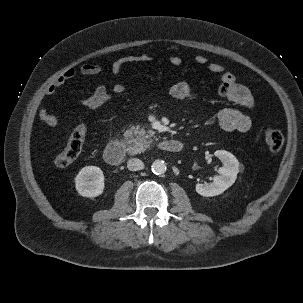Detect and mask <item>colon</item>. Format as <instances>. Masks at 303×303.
<instances>
[{"instance_id":"colon-1","label":"colon","mask_w":303,"mask_h":303,"mask_svg":"<svg viewBox=\"0 0 303 303\" xmlns=\"http://www.w3.org/2000/svg\"><path fill=\"white\" fill-rule=\"evenodd\" d=\"M110 97L111 94H104L91 100L86 107L89 109L101 108L107 103ZM87 132L88 127L85 123H80L75 127L66 147L59 152L55 158V164L58 167H66L78 158L82 151ZM263 137L268 149L272 153H277L281 150L284 144V137L281 131L274 128H266L264 130Z\"/></svg>"}]
</instances>
